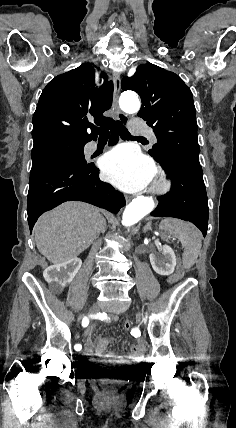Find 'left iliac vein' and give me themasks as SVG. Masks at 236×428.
Returning a JSON list of instances; mask_svg holds the SVG:
<instances>
[{"label": "left iliac vein", "mask_w": 236, "mask_h": 428, "mask_svg": "<svg viewBox=\"0 0 236 428\" xmlns=\"http://www.w3.org/2000/svg\"><path fill=\"white\" fill-rule=\"evenodd\" d=\"M134 313H137V310H134ZM136 317H139V314H136ZM137 322H138V325H139V326H142V325H143V322H142V319H141V318H138V319H137Z\"/></svg>", "instance_id": "obj_1"}]
</instances>
